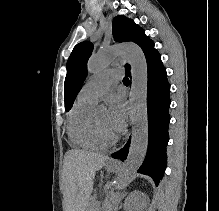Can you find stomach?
Wrapping results in <instances>:
<instances>
[{
  "label": "stomach",
  "instance_id": "stomach-1",
  "mask_svg": "<svg viewBox=\"0 0 219 211\" xmlns=\"http://www.w3.org/2000/svg\"><path fill=\"white\" fill-rule=\"evenodd\" d=\"M106 169L109 172H116L119 169V166L118 164H115V163H107Z\"/></svg>",
  "mask_w": 219,
  "mask_h": 211
}]
</instances>
